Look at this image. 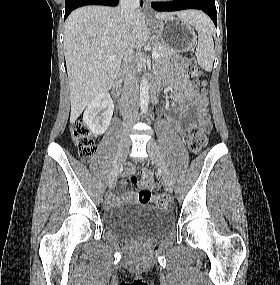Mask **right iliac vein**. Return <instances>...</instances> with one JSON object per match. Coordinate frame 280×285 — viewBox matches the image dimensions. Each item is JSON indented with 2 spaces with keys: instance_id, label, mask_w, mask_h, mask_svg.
Wrapping results in <instances>:
<instances>
[{
  "instance_id": "obj_1",
  "label": "right iliac vein",
  "mask_w": 280,
  "mask_h": 285,
  "mask_svg": "<svg viewBox=\"0 0 280 285\" xmlns=\"http://www.w3.org/2000/svg\"><path fill=\"white\" fill-rule=\"evenodd\" d=\"M130 142L127 137H122L119 143L117 155L114 161V165L110 174V179H109V187L112 188L118 178L120 169L122 167L123 162L126 159L128 150H129Z\"/></svg>"
}]
</instances>
